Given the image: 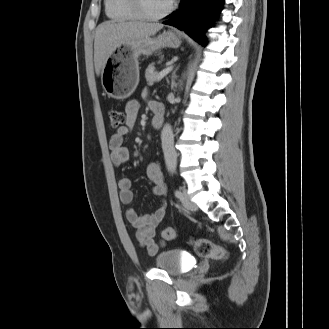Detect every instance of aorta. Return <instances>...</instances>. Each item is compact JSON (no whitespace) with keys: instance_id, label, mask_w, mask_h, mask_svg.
Here are the masks:
<instances>
[{"instance_id":"aorta-1","label":"aorta","mask_w":329,"mask_h":329,"mask_svg":"<svg viewBox=\"0 0 329 329\" xmlns=\"http://www.w3.org/2000/svg\"><path fill=\"white\" fill-rule=\"evenodd\" d=\"M162 149L166 167L169 171L176 168L177 154L174 148V135L170 124H165L161 132Z\"/></svg>"}]
</instances>
